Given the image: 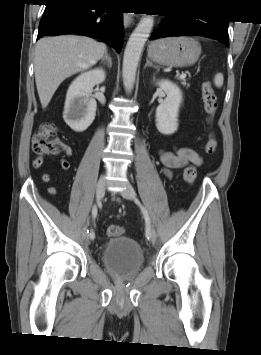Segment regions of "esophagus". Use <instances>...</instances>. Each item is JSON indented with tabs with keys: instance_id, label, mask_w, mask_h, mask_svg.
<instances>
[{
	"instance_id": "34e87169",
	"label": "esophagus",
	"mask_w": 261,
	"mask_h": 355,
	"mask_svg": "<svg viewBox=\"0 0 261 355\" xmlns=\"http://www.w3.org/2000/svg\"><path fill=\"white\" fill-rule=\"evenodd\" d=\"M123 22L125 27H129L133 23V17L129 13L123 14Z\"/></svg>"
}]
</instances>
